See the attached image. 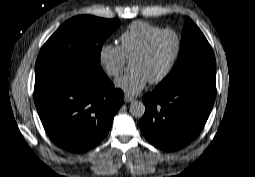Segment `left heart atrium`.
Listing matches in <instances>:
<instances>
[{
    "label": "left heart atrium",
    "instance_id": "obj_1",
    "mask_svg": "<svg viewBox=\"0 0 255 177\" xmlns=\"http://www.w3.org/2000/svg\"><path fill=\"white\" fill-rule=\"evenodd\" d=\"M148 78L140 71H132L116 81L117 87L130 95L138 94L146 86Z\"/></svg>",
    "mask_w": 255,
    "mask_h": 177
}]
</instances>
